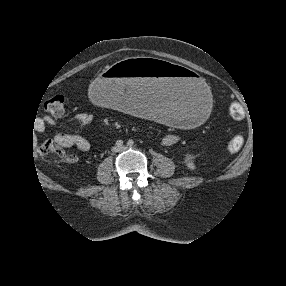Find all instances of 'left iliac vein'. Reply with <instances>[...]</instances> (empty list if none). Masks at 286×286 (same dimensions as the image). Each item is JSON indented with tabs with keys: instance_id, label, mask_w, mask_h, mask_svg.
I'll use <instances>...</instances> for the list:
<instances>
[{
	"instance_id": "1",
	"label": "left iliac vein",
	"mask_w": 286,
	"mask_h": 286,
	"mask_svg": "<svg viewBox=\"0 0 286 286\" xmlns=\"http://www.w3.org/2000/svg\"><path fill=\"white\" fill-rule=\"evenodd\" d=\"M125 147H121L120 150H123Z\"/></svg>"
}]
</instances>
